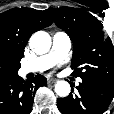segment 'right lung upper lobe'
<instances>
[{"label": "right lung upper lobe", "instance_id": "cb5924a9", "mask_svg": "<svg viewBox=\"0 0 114 114\" xmlns=\"http://www.w3.org/2000/svg\"><path fill=\"white\" fill-rule=\"evenodd\" d=\"M52 24L45 11L13 8L0 14V65L16 67L30 36Z\"/></svg>", "mask_w": 114, "mask_h": 114}]
</instances>
